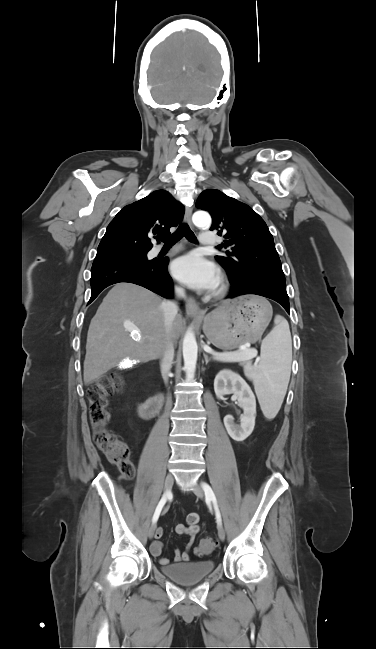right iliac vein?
Segmentation results:
<instances>
[{
    "mask_svg": "<svg viewBox=\"0 0 376 649\" xmlns=\"http://www.w3.org/2000/svg\"><path fill=\"white\" fill-rule=\"evenodd\" d=\"M173 484H174V478H173V476H172L171 474H168V475L166 476L165 483H164V489H165V491H166V492H169L170 489L172 488ZM155 529H156V525H155V523H153V524L149 527V529H148V537H149L150 539L153 538V535H154Z\"/></svg>",
    "mask_w": 376,
    "mask_h": 649,
    "instance_id": "obj_1",
    "label": "right iliac vein"
}]
</instances>
